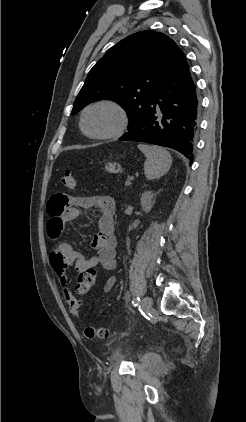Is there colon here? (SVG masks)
Returning <instances> with one entry per match:
<instances>
[{
  "instance_id": "colon-1",
  "label": "colon",
  "mask_w": 246,
  "mask_h": 422,
  "mask_svg": "<svg viewBox=\"0 0 246 422\" xmlns=\"http://www.w3.org/2000/svg\"><path fill=\"white\" fill-rule=\"evenodd\" d=\"M106 169L111 173H118L120 172L121 167L117 163H111L107 165ZM61 182L63 186L68 190H74L77 186L75 176L69 171L64 173ZM50 263L54 271L60 276H62V282L64 284L66 282V279L63 274L69 267L65 256L57 249H53L50 253ZM95 280L96 270L94 268H87L79 272L77 275L76 284L77 295H83L87 293L94 285ZM65 298L71 315L73 316V318L79 319L82 314V305L80 299L68 291H65ZM85 335L88 338H105L108 336V331L105 328L87 327L85 329Z\"/></svg>"
}]
</instances>
